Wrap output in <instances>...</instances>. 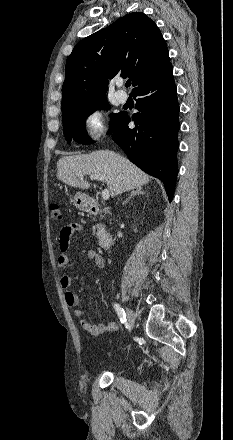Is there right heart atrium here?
<instances>
[{
  "mask_svg": "<svg viewBox=\"0 0 233 440\" xmlns=\"http://www.w3.org/2000/svg\"><path fill=\"white\" fill-rule=\"evenodd\" d=\"M82 127L89 140L101 139L106 132V121L102 110L94 107L86 111L82 118Z\"/></svg>",
  "mask_w": 233,
  "mask_h": 440,
  "instance_id": "1",
  "label": "right heart atrium"
}]
</instances>
